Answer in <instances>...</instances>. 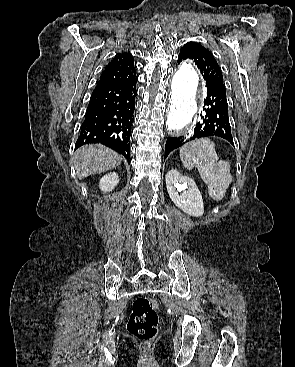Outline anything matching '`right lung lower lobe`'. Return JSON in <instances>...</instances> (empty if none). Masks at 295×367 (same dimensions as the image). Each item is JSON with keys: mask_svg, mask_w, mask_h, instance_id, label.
Instances as JSON below:
<instances>
[{"mask_svg": "<svg viewBox=\"0 0 295 367\" xmlns=\"http://www.w3.org/2000/svg\"><path fill=\"white\" fill-rule=\"evenodd\" d=\"M136 94V81L120 85L98 83L91 95L75 149L84 144L101 143L130 162Z\"/></svg>", "mask_w": 295, "mask_h": 367, "instance_id": "obj_1", "label": "right lung lower lobe"}]
</instances>
